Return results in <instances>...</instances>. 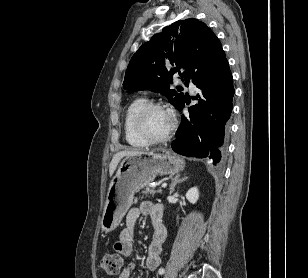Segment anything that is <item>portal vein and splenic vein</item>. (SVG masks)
I'll use <instances>...</instances> for the list:
<instances>
[{"mask_svg": "<svg viewBox=\"0 0 308 278\" xmlns=\"http://www.w3.org/2000/svg\"><path fill=\"white\" fill-rule=\"evenodd\" d=\"M167 186V184L166 183H163L162 185H161V188H165Z\"/></svg>", "mask_w": 308, "mask_h": 278, "instance_id": "1", "label": "portal vein and splenic vein"}]
</instances>
